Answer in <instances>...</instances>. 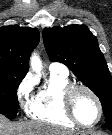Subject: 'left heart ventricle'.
I'll return each mask as SVG.
<instances>
[{
  "label": "left heart ventricle",
  "mask_w": 112,
  "mask_h": 135,
  "mask_svg": "<svg viewBox=\"0 0 112 135\" xmlns=\"http://www.w3.org/2000/svg\"><path fill=\"white\" fill-rule=\"evenodd\" d=\"M77 118L86 125L93 123L98 116V108L94 99L85 91H78L73 100Z\"/></svg>",
  "instance_id": "1"
}]
</instances>
